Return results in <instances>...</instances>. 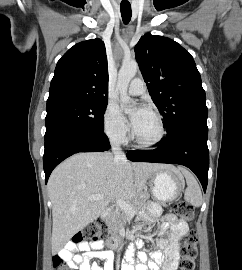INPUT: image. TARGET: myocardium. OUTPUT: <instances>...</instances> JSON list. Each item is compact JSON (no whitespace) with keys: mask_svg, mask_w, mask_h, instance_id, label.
Returning a JSON list of instances; mask_svg holds the SVG:
<instances>
[{"mask_svg":"<svg viewBox=\"0 0 242 270\" xmlns=\"http://www.w3.org/2000/svg\"><path fill=\"white\" fill-rule=\"evenodd\" d=\"M149 112L156 118L159 127L158 136L152 141H141L136 138L134 129L132 130V141L138 148L150 149L160 145L166 136V127L161 114L155 110H149Z\"/></svg>","mask_w":242,"mask_h":270,"instance_id":"1","label":"myocardium"}]
</instances>
